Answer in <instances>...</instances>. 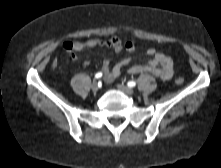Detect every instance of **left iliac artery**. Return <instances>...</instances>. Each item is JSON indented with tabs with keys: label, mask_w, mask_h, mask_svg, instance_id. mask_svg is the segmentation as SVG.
I'll use <instances>...</instances> for the list:
<instances>
[{
	"label": "left iliac artery",
	"mask_w": 221,
	"mask_h": 168,
	"mask_svg": "<svg viewBox=\"0 0 221 168\" xmlns=\"http://www.w3.org/2000/svg\"><path fill=\"white\" fill-rule=\"evenodd\" d=\"M128 87H135L136 86V82L135 81H129L127 83Z\"/></svg>",
	"instance_id": "1"
}]
</instances>
